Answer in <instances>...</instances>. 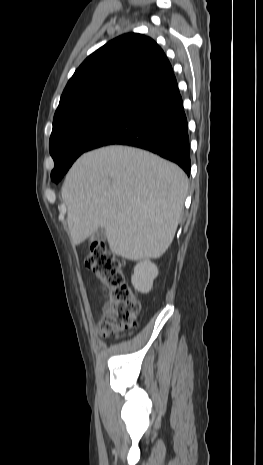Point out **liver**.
I'll return each instance as SVG.
<instances>
[{
    "label": "liver",
    "mask_w": 263,
    "mask_h": 465,
    "mask_svg": "<svg viewBox=\"0 0 263 465\" xmlns=\"http://www.w3.org/2000/svg\"><path fill=\"white\" fill-rule=\"evenodd\" d=\"M187 189L182 169L150 152L113 145L85 153L62 186L72 243L103 228L116 255L159 258L173 241Z\"/></svg>",
    "instance_id": "6515ba94"
}]
</instances>
